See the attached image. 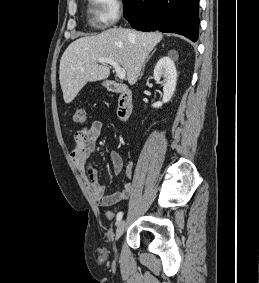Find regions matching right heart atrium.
<instances>
[{"instance_id": "1", "label": "right heart atrium", "mask_w": 259, "mask_h": 283, "mask_svg": "<svg viewBox=\"0 0 259 283\" xmlns=\"http://www.w3.org/2000/svg\"><path fill=\"white\" fill-rule=\"evenodd\" d=\"M97 22L107 28L114 25L123 13V0H92Z\"/></svg>"}]
</instances>
